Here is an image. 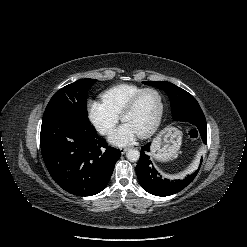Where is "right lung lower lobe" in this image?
Returning a JSON list of instances; mask_svg holds the SVG:
<instances>
[{
    "label": "right lung lower lobe",
    "mask_w": 247,
    "mask_h": 247,
    "mask_svg": "<svg viewBox=\"0 0 247 247\" xmlns=\"http://www.w3.org/2000/svg\"><path fill=\"white\" fill-rule=\"evenodd\" d=\"M44 163L67 192L91 196L108 184L121 152L96 134L88 116L65 108L45 110L41 134Z\"/></svg>",
    "instance_id": "98d812e1"
}]
</instances>
